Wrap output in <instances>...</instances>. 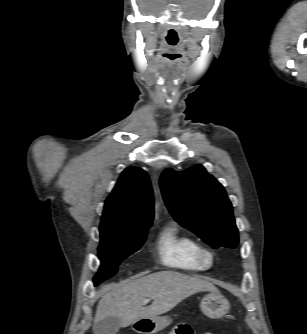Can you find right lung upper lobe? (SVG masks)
Masks as SVG:
<instances>
[{"label":"right lung upper lobe","mask_w":307,"mask_h":334,"mask_svg":"<svg viewBox=\"0 0 307 334\" xmlns=\"http://www.w3.org/2000/svg\"><path fill=\"white\" fill-rule=\"evenodd\" d=\"M153 215V193L147 173L141 168H126L105 202L100 233L150 227Z\"/></svg>","instance_id":"right-lung-upper-lobe-1"}]
</instances>
